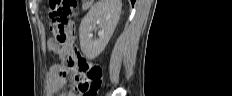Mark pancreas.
I'll use <instances>...</instances> for the list:
<instances>
[{"mask_svg": "<svg viewBox=\"0 0 232 96\" xmlns=\"http://www.w3.org/2000/svg\"><path fill=\"white\" fill-rule=\"evenodd\" d=\"M88 6V4L83 5V9H86Z\"/></svg>", "mask_w": 232, "mask_h": 96, "instance_id": "pancreas-1", "label": "pancreas"}]
</instances>
